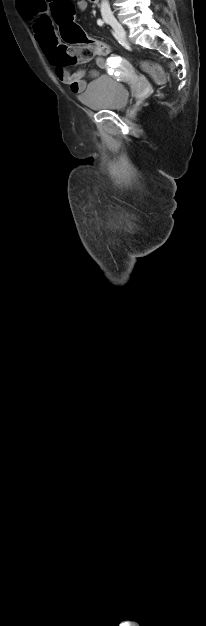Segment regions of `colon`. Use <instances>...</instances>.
<instances>
[{"mask_svg":"<svg viewBox=\"0 0 206 626\" xmlns=\"http://www.w3.org/2000/svg\"><path fill=\"white\" fill-rule=\"evenodd\" d=\"M53 9L54 18L60 27L64 45L57 50V62L62 65L88 62L97 54L107 53L109 47L97 40L87 38L83 30L74 22L72 0H48ZM47 29L46 25L42 26ZM145 69L158 82L164 80L161 69L155 65H146Z\"/></svg>","mask_w":206,"mask_h":626,"instance_id":"5ec220e1","label":"colon"}]
</instances>
